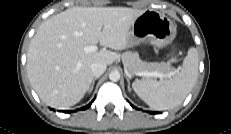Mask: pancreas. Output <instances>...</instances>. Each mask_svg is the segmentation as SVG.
Segmentation results:
<instances>
[{
    "instance_id": "cf45deb5",
    "label": "pancreas",
    "mask_w": 231,
    "mask_h": 134,
    "mask_svg": "<svg viewBox=\"0 0 231 134\" xmlns=\"http://www.w3.org/2000/svg\"><path fill=\"white\" fill-rule=\"evenodd\" d=\"M122 62L125 69L131 73L136 74L138 72H160L168 74L172 71L170 63L166 62H144L140 59L137 52L126 51L122 54Z\"/></svg>"
}]
</instances>
